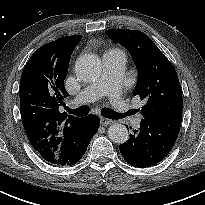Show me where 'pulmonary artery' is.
I'll return each mask as SVG.
<instances>
[{
	"instance_id": "e3ab8cb5",
	"label": "pulmonary artery",
	"mask_w": 205,
	"mask_h": 205,
	"mask_svg": "<svg viewBox=\"0 0 205 205\" xmlns=\"http://www.w3.org/2000/svg\"><path fill=\"white\" fill-rule=\"evenodd\" d=\"M102 62L103 71L101 75L82 89L74 104L78 102L91 103L104 95H108L115 108L124 111L128 105L122 97V81L126 64L125 55L120 51L107 52L103 55ZM129 120L135 128L140 127V117Z\"/></svg>"
}]
</instances>
